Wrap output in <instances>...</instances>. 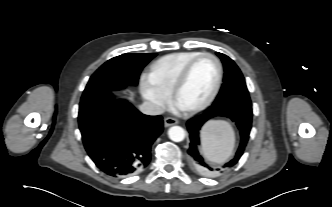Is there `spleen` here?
I'll return each instance as SVG.
<instances>
[{
  "mask_svg": "<svg viewBox=\"0 0 332 207\" xmlns=\"http://www.w3.org/2000/svg\"><path fill=\"white\" fill-rule=\"evenodd\" d=\"M202 152L212 162L223 163L232 154L235 134L232 126L225 121H211L203 129Z\"/></svg>",
  "mask_w": 332,
  "mask_h": 207,
  "instance_id": "spleen-1",
  "label": "spleen"
}]
</instances>
